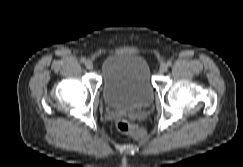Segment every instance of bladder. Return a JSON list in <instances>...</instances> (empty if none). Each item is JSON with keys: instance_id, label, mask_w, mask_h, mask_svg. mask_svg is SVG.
I'll return each instance as SVG.
<instances>
[{"instance_id": "obj_1", "label": "bladder", "mask_w": 243, "mask_h": 167, "mask_svg": "<svg viewBox=\"0 0 243 167\" xmlns=\"http://www.w3.org/2000/svg\"><path fill=\"white\" fill-rule=\"evenodd\" d=\"M102 93L115 110H143L154 101V90L146 60L136 54L118 52L102 63Z\"/></svg>"}]
</instances>
